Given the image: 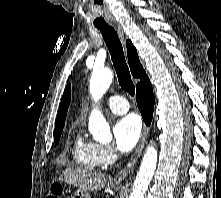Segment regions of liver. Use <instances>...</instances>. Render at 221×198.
<instances>
[{"mask_svg": "<svg viewBox=\"0 0 221 198\" xmlns=\"http://www.w3.org/2000/svg\"><path fill=\"white\" fill-rule=\"evenodd\" d=\"M58 180L86 191H100L107 183L105 174L79 168L66 169Z\"/></svg>", "mask_w": 221, "mask_h": 198, "instance_id": "1", "label": "liver"}]
</instances>
